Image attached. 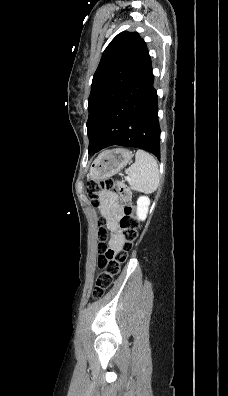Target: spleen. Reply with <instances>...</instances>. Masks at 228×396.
Here are the masks:
<instances>
[{
    "label": "spleen",
    "instance_id": "obj_1",
    "mask_svg": "<svg viewBox=\"0 0 228 396\" xmlns=\"http://www.w3.org/2000/svg\"><path fill=\"white\" fill-rule=\"evenodd\" d=\"M132 190L152 193L160 182L159 168L155 158L143 150H138L135 163L126 170Z\"/></svg>",
    "mask_w": 228,
    "mask_h": 396
}]
</instances>
